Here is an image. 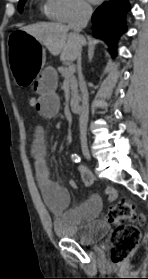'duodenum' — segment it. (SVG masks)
<instances>
[{
    "label": "duodenum",
    "mask_w": 148,
    "mask_h": 279,
    "mask_svg": "<svg viewBox=\"0 0 148 279\" xmlns=\"http://www.w3.org/2000/svg\"><path fill=\"white\" fill-rule=\"evenodd\" d=\"M70 107H71V111L74 114H79L82 110V105L79 101H72Z\"/></svg>",
    "instance_id": "duodenum-1"
}]
</instances>
